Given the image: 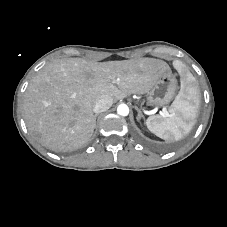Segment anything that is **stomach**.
Listing matches in <instances>:
<instances>
[{"mask_svg":"<svg viewBox=\"0 0 227 227\" xmlns=\"http://www.w3.org/2000/svg\"><path fill=\"white\" fill-rule=\"evenodd\" d=\"M177 89V79L171 72L164 73L148 92L149 105L162 107L169 104L176 96Z\"/></svg>","mask_w":227,"mask_h":227,"instance_id":"0dacf381","label":"stomach"}]
</instances>
